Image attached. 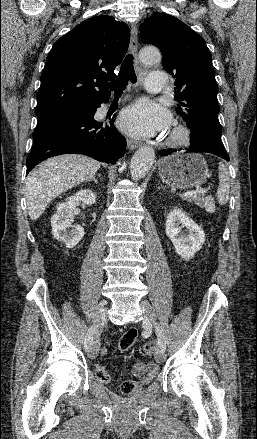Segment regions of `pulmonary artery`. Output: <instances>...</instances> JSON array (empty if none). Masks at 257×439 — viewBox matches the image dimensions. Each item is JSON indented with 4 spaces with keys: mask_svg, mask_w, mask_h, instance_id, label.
Returning a JSON list of instances; mask_svg holds the SVG:
<instances>
[{
    "mask_svg": "<svg viewBox=\"0 0 257 439\" xmlns=\"http://www.w3.org/2000/svg\"><path fill=\"white\" fill-rule=\"evenodd\" d=\"M166 76L161 72H154L147 75L145 88L150 93H161L165 87Z\"/></svg>",
    "mask_w": 257,
    "mask_h": 439,
    "instance_id": "pulmonary-artery-1",
    "label": "pulmonary artery"
}]
</instances>
